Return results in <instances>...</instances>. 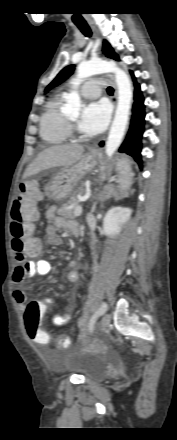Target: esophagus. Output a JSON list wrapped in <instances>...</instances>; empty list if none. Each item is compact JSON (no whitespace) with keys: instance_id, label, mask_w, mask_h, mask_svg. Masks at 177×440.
Listing matches in <instances>:
<instances>
[{"instance_id":"obj_1","label":"esophagus","mask_w":177,"mask_h":440,"mask_svg":"<svg viewBox=\"0 0 177 440\" xmlns=\"http://www.w3.org/2000/svg\"><path fill=\"white\" fill-rule=\"evenodd\" d=\"M89 26L91 27V29L93 30V32L98 35V31L97 28L95 26V24L93 22H89ZM108 78L110 79L111 83L113 84L114 88H115V93L114 96L112 97V103L115 105L117 103V89H116V84L114 81V77L112 74L108 75Z\"/></svg>"}]
</instances>
